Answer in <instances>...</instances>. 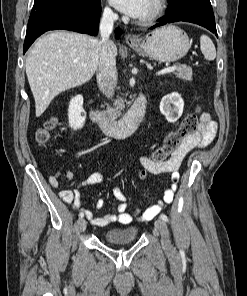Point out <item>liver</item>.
<instances>
[{
	"label": "liver",
	"instance_id": "obj_1",
	"mask_svg": "<svg viewBox=\"0 0 247 296\" xmlns=\"http://www.w3.org/2000/svg\"><path fill=\"white\" fill-rule=\"evenodd\" d=\"M113 53L117 47L113 43ZM99 40L68 31L41 37L27 56L25 68L40 117L61 92L88 82L98 67Z\"/></svg>",
	"mask_w": 247,
	"mask_h": 296
}]
</instances>
